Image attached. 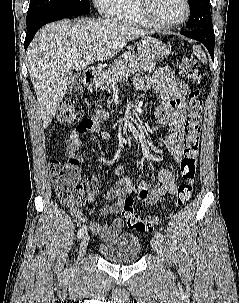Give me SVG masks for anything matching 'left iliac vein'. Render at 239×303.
Instances as JSON below:
<instances>
[{"instance_id": "obj_1", "label": "left iliac vein", "mask_w": 239, "mask_h": 303, "mask_svg": "<svg viewBox=\"0 0 239 303\" xmlns=\"http://www.w3.org/2000/svg\"><path fill=\"white\" fill-rule=\"evenodd\" d=\"M151 245L153 249L156 251V253L160 256V258L164 257L163 248L160 240L156 237H154L151 241Z\"/></svg>"}]
</instances>
